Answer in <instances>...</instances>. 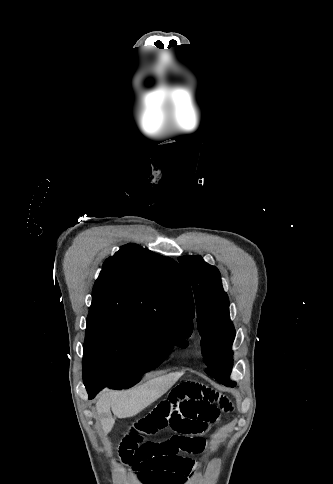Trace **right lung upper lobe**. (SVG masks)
Instances as JSON below:
<instances>
[{"instance_id": "obj_1", "label": "right lung upper lobe", "mask_w": 333, "mask_h": 484, "mask_svg": "<svg viewBox=\"0 0 333 484\" xmlns=\"http://www.w3.org/2000/svg\"><path fill=\"white\" fill-rule=\"evenodd\" d=\"M89 312L181 319L192 328L195 315L189 281L180 266L132 243L104 262Z\"/></svg>"}]
</instances>
